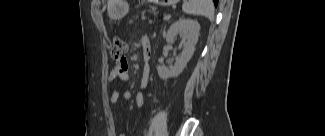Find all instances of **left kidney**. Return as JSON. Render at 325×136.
<instances>
[{
    "instance_id": "left-kidney-1",
    "label": "left kidney",
    "mask_w": 325,
    "mask_h": 136,
    "mask_svg": "<svg viewBox=\"0 0 325 136\" xmlns=\"http://www.w3.org/2000/svg\"><path fill=\"white\" fill-rule=\"evenodd\" d=\"M199 32V23L192 19L180 18L170 26L166 35L167 43H173L178 34L183 36L186 41L183 43V50L180 56L171 69L161 65L157 67V72L161 79L166 80L170 77H177L183 72L187 63L193 56L195 45L198 42Z\"/></svg>"
}]
</instances>
